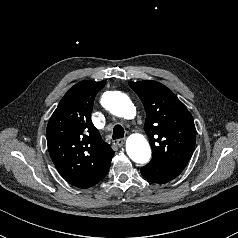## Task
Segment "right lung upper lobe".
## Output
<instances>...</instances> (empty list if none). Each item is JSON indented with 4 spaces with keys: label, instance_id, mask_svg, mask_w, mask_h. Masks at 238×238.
<instances>
[{
    "label": "right lung upper lobe",
    "instance_id": "cb5924a9",
    "mask_svg": "<svg viewBox=\"0 0 238 238\" xmlns=\"http://www.w3.org/2000/svg\"><path fill=\"white\" fill-rule=\"evenodd\" d=\"M105 81H82L70 88L46 129L49 154L60 175L82 187L110 168L114 151L91 121L96 94Z\"/></svg>",
    "mask_w": 238,
    "mask_h": 238
}]
</instances>
